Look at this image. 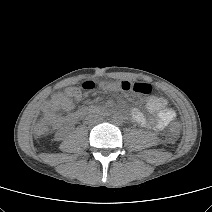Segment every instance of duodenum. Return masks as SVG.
<instances>
[{
    "label": "duodenum",
    "mask_w": 212,
    "mask_h": 212,
    "mask_svg": "<svg viewBox=\"0 0 212 212\" xmlns=\"http://www.w3.org/2000/svg\"><path fill=\"white\" fill-rule=\"evenodd\" d=\"M89 111H90L89 108H83V109L80 111V115H86Z\"/></svg>",
    "instance_id": "410a0bca"
}]
</instances>
